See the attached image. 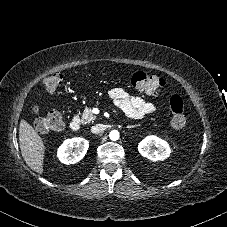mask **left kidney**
I'll return each instance as SVG.
<instances>
[{
  "label": "left kidney",
  "instance_id": "left-kidney-1",
  "mask_svg": "<svg viewBox=\"0 0 227 227\" xmlns=\"http://www.w3.org/2000/svg\"><path fill=\"white\" fill-rule=\"evenodd\" d=\"M138 151L151 161L164 160L171 152L168 143L155 135L144 138L138 145Z\"/></svg>",
  "mask_w": 227,
  "mask_h": 227
}]
</instances>
